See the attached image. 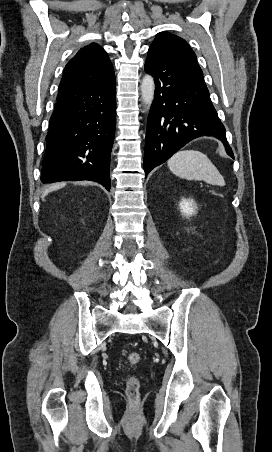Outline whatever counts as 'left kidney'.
Wrapping results in <instances>:
<instances>
[{"mask_svg":"<svg viewBox=\"0 0 272 452\" xmlns=\"http://www.w3.org/2000/svg\"><path fill=\"white\" fill-rule=\"evenodd\" d=\"M182 214L186 217H190L196 214L197 205L193 199L183 198L179 204Z\"/></svg>","mask_w":272,"mask_h":452,"instance_id":"left-kidney-1","label":"left kidney"}]
</instances>
